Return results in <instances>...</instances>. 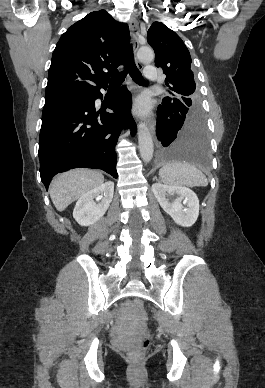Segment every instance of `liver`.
Instances as JSON below:
<instances>
[{
	"label": "liver",
	"mask_w": 265,
	"mask_h": 388,
	"mask_svg": "<svg viewBox=\"0 0 265 388\" xmlns=\"http://www.w3.org/2000/svg\"><path fill=\"white\" fill-rule=\"evenodd\" d=\"M104 176L95 170H70L59 174L50 184V198L58 212L81 198L86 192L102 186Z\"/></svg>",
	"instance_id": "obj_1"
}]
</instances>
